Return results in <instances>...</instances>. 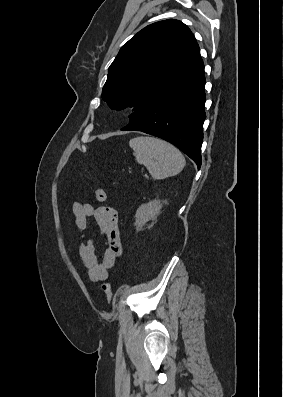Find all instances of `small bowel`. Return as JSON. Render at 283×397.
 <instances>
[{"instance_id": "small-bowel-1", "label": "small bowel", "mask_w": 283, "mask_h": 397, "mask_svg": "<svg viewBox=\"0 0 283 397\" xmlns=\"http://www.w3.org/2000/svg\"><path fill=\"white\" fill-rule=\"evenodd\" d=\"M75 224L83 242L79 246V255L94 282L104 281L122 253V243L118 226V213L112 207L95 208L89 203L75 202L73 205ZM93 218L102 235L106 238V248L101 261L91 238L86 236L89 220Z\"/></svg>"}]
</instances>
